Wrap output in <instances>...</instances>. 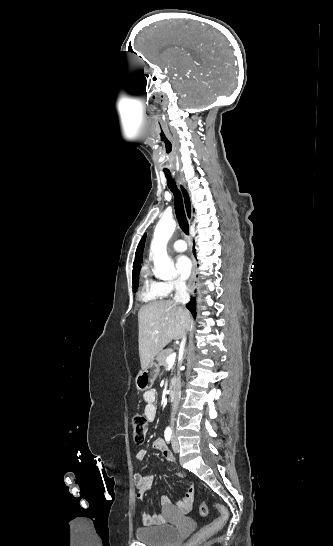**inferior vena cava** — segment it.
Wrapping results in <instances>:
<instances>
[{"label":"inferior vena cava","instance_id":"602c4592","mask_svg":"<svg viewBox=\"0 0 333 546\" xmlns=\"http://www.w3.org/2000/svg\"><path fill=\"white\" fill-rule=\"evenodd\" d=\"M175 290H176V293H175V296H174V301L176 303H181L182 305H185L187 304L189 301H190V295L187 291V286H186V283L182 280H176L175 281ZM185 344H186V334H184V336L182 337V341H181V348H184L185 347ZM180 395H181V385H180V381L177 382V386H176V393H175V398H174V401H173V408H172V417H171V424L173 425V422H174V414L178 408V404H179V401H180Z\"/></svg>","mask_w":333,"mask_h":546}]
</instances>
